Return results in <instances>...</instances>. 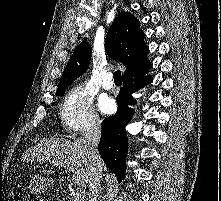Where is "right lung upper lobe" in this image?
<instances>
[{
    "label": "right lung upper lobe",
    "mask_w": 221,
    "mask_h": 201,
    "mask_svg": "<svg viewBox=\"0 0 221 201\" xmlns=\"http://www.w3.org/2000/svg\"><path fill=\"white\" fill-rule=\"evenodd\" d=\"M144 33L139 21L129 12L118 13L110 27L105 48L110 58L126 67L123 77L138 72L150 64L147 60L149 48L145 45ZM91 46L84 39L75 49L62 74L57 92L65 91L89 66Z\"/></svg>",
    "instance_id": "cb5924a9"
}]
</instances>
